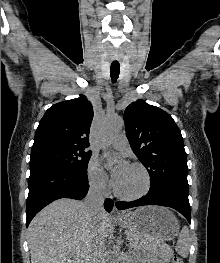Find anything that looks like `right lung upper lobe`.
I'll list each match as a JSON object with an SVG mask.
<instances>
[{
	"instance_id": "right-lung-upper-lobe-1",
	"label": "right lung upper lobe",
	"mask_w": 220,
	"mask_h": 263,
	"mask_svg": "<svg viewBox=\"0 0 220 263\" xmlns=\"http://www.w3.org/2000/svg\"><path fill=\"white\" fill-rule=\"evenodd\" d=\"M92 119V104L84 95L54 104L40 120L31 153L51 148L88 147Z\"/></svg>"
}]
</instances>
